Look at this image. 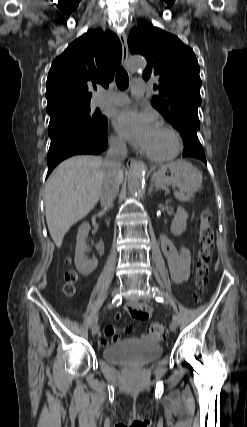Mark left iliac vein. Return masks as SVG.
Instances as JSON below:
<instances>
[{"mask_svg": "<svg viewBox=\"0 0 247 427\" xmlns=\"http://www.w3.org/2000/svg\"><path fill=\"white\" fill-rule=\"evenodd\" d=\"M150 299H151V296L149 294L143 296V300H145V301H150ZM177 325H178V323L176 321L172 320L170 323V330L172 332H174L177 328Z\"/></svg>", "mask_w": 247, "mask_h": 427, "instance_id": "obj_1", "label": "left iliac vein"}]
</instances>
